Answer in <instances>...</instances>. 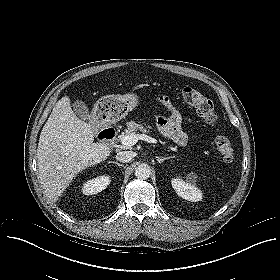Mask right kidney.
<instances>
[{"label": "right kidney", "instance_id": "ca27d5eb", "mask_svg": "<svg viewBox=\"0 0 280 280\" xmlns=\"http://www.w3.org/2000/svg\"><path fill=\"white\" fill-rule=\"evenodd\" d=\"M110 181V177L105 175L90 179L83 184L82 193L85 195L97 194L106 189Z\"/></svg>", "mask_w": 280, "mask_h": 280}]
</instances>
